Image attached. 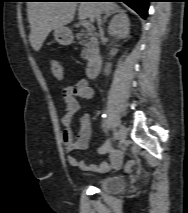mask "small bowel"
<instances>
[{"instance_id": "obj_1", "label": "small bowel", "mask_w": 188, "mask_h": 213, "mask_svg": "<svg viewBox=\"0 0 188 213\" xmlns=\"http://www.w3.org/2000/svg\"><path fill=\"white\" fill-rule=\"evenodd\" d=\"M66 108L61 116V123L64 126L62 139L65 151L68 155V162L71 166L80 168L85 171L107 172L111 169L118 170L122 167L123 157L119 151L113 150L110 140H106L97 149L101 155H108L109 159L104 160L100 165L86 163L77 159L72 153L78 150H86L89 147V137L92 128L91 116L83 113L79 120V130L74 137L70 129L74 115L79 110V98L92 100L96 97L95 91L88 85L85 79H81L74 84L67 85L62 91Z\"/></svg>"}]
</instances>
